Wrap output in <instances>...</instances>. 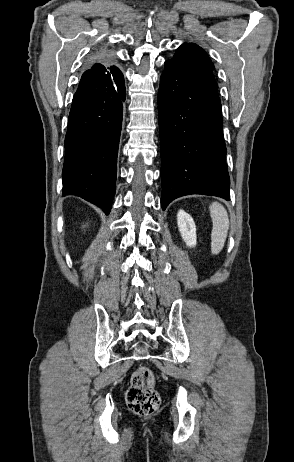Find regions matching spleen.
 I'll return each instance as SVG.
<instances>
[{
    "label": "spleen",
    "mask_w": 294,
    "mask_h": 462,
    "mask_svg": "<svg viewBox=\"0 0 294 462\" xmlns=\"http://www.w3.org/2000/svg\"><path fill=\"white\" fill-rule=\"evenodd\" d=\"M209 210L213 222L211 251L213 254H218L222 250L227 237L229 218L224 206L218 202H213L210 205Z\"/></svg>",
    "instance_id": "spleen-1"
}]
</instances>
